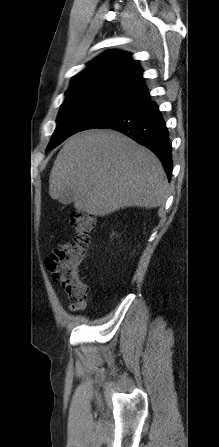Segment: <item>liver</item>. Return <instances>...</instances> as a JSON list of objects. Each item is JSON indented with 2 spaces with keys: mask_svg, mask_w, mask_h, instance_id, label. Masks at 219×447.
Masks as SVG:
<instances>
[{
  "mask_svg": "<svg viewBox=\"0 0 219 447\" xmlns=\"http://www.w3.org/2000/svg\"><path fill=\"white\" fill-rule=\"evenodd\" d=\"M161 162L145 147L111 130H88L66 140L52 167L49 195L71 192L74 207L105 216L125 207L155 208L168 198Z\"/></svg>",
  "mask_w": 219,
  "mask_h": 447,
  "instance_id": "obj_1",
  "label": "liver"
}]
</instances>
